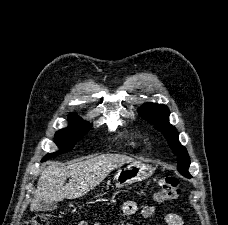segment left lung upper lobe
I'll list each match as a JSON object with an SVG mask.
<instances>
[{"label": "left lung upper lobe", "instance_id": "5c2ea615", "mask_svg": "<svg viewBox=\"0 0 228 225\" xmlns=\"http://www.w3.org/2000/svg\"><path fill=\"white\" fill-rule=\"evenodd\" d=\"M139 115L164 134L172 151L177 155L178 171L187 178L190 158L187 150L178 141L177 130L169 124V109L163 104L147 103L138 110Z\"/></svg>", "mask_w": 228, "mask_h": 225}]
</instances>
